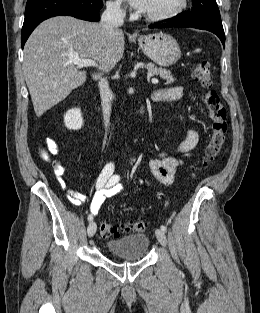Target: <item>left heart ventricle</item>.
<instances>
[{
	"label": "left heart ventricle",
	"mask_w": 260,
	"mask_h": 313,
	"mask_svg": "<svg viewBox=\"0 0 260 313\" xmlns=\"http://www.w3.org/2000/svg\"><path fill=\"white\" fill-rule=\"evenodd\" d=\"M179 0H148L144 13L161 14L165 13L178 4Z\"/></svg>",
	"instance_id": "left-heart-ventricle-1"
}]
</instances>
